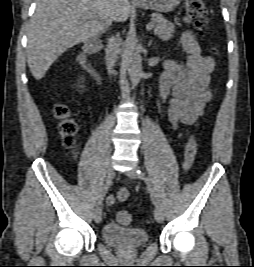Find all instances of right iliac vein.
Masks as SVG:
<instances>
[{"mask_svg": "<svg viewBox=\"0 0 254 267\" xmlns=\"http://www.w3.org/2000/svg\"><path fill=\"white\" fill-rule=\"evenodd\" d=\"M106 174H107V177H112L114 176V170L112 167H109L106 171ZM93 218H94V221L96 223H100L101 220H102V210L99 206H97L95 209H94V212H93Z\"/></svg>", "mask_w": 254, "mask_h": 267, "instance_id": "1", "label": "right iliac vein"}]
</instances>
